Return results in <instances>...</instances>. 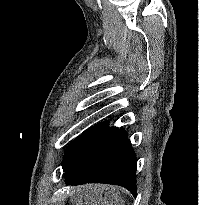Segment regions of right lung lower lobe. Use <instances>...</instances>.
<instances>
[{
    "label": "right lung lower lobe",
    "instance_id": "right-lung-lower-lobe-1",
    "mask_svg": "<svg viewBox=\"0 0 199 205\" xmlns=\"http://www.w3.org/2000/svg\"><path fill=\"white\" fill-rule=\"evenodd\" d=\"M137 158L127 133L118 129L103 144L79 158L65 172L66 185L108 183L136 191Z\"/></svg>",
    "mask_w": 199,
    "mask_h": 205
}]
</instances>
